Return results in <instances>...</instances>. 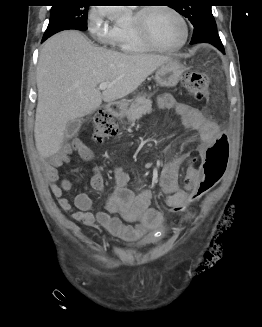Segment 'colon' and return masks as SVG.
Segmentation results:
<instances>
[{"label":"colon","mask_w":262,"mask_h":327,"mask_svg":"<svg viewBox=\"0 0 262 327\" xmlns=\"http://www.w3.org/2000/svg\"><path fill=\"white\" fill-rule=\"evenodd\" d=\"M182 81L185 89L194 98L202 100L207 97L209 81L205 74L197 71H189L184 74ZM93 124L92 136L96 142L101 143L114 136L117 132L116 123L111 113L106 109H100L96 112L93 118ZM228 159V138L225 134H221L200 157L198 168L201 178L197 187L188 195L183 204L176 206L171 211L184 212L209 192L224 174Z\"/></svg>","instance_id":"colon-1"}]
</instances>
